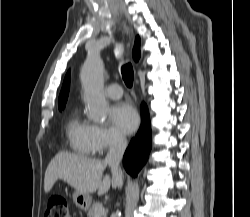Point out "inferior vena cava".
Listing matches in <instances>:
<instances>
[{
    "instance_id": "602c4592",
    "label": "inferior vena cava",
    "mask_w": 250,
    "mask_h": 217,
    "mask_svg": "<svg viewBox=\"0 0 250 217\" xmlns=\"http://www.w3.org/2000/svg\"><path fill=\"white\" fill-rule=\"evenodd\" d=\"M126 147V138L121 134L114 135L111 141L109 152L104 159V163L111 167L113 176L117 178L118 187H121L123 184V174L120 168V161L123 157Z\"/></svg>"
}]
</instances>
